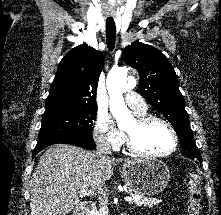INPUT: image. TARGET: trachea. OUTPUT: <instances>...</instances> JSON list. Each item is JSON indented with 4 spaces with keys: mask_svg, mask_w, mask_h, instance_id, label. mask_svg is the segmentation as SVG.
Wrapping results in <instances>:
<instances>
[{
    "mask_svg": "<svg viewBox=\"0 0 221 215\" xmlns=\"http://www.w3.org/2000/svg\"><path fill=\"white\" fill-rule=\"evenodd\" d=\"M116 41V26L113 19L106 20V43L110 51L115 47Z\"/></svg>",
    "mask_w": 221,
    "mask_h": 215,
    "instance_id": "1",
    "label": "trachea"
}]
</instances>
